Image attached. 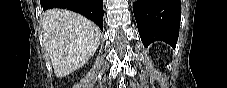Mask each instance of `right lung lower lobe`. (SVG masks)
Returning <instances> with one entry per match:
<instances>
[{"instance_id":"1","label":"right lung lower lobe","mask_w":227,"mask_h":88,"mask_svg":"<svg viewBox=\"0 0 227 88\" xmlns=\"http://www.w3.org/2000/svg\"><path fill=\"white\" fill-rule=\"evenodd\" d=\"M43 10L64 8L80 13L94 21L103 30L102 0H40Z\"/></svg>"}]
</instances>
